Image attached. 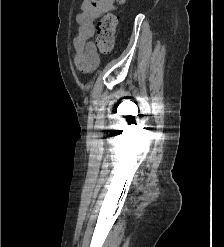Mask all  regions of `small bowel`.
Returning a JSON list of instances; mask_svg holds the SVG:
<instances>
[{
  "label": "small bowel",
  "instance_id": "small-bowel-1",
  "mask_svg": "<svg viewBox=\"0 0 224 247\" xmlns=\"http://www.w3.org/2000/svg\"><path fill=\"white\" fill-rule=\"evenodd\" d=\"M114 8V0H83L82 10L77 14V35L74 39V64L79 71L90 72L98 65L96 45L91 40L94 22Z\"/></svg>",
  "mask_w": 224,
  "mask_h": 247
}]
</instances>
